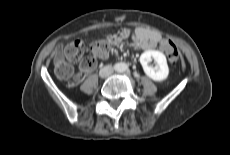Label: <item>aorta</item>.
<instances>
[{
  "label": "aorta",
  "instance_id": "aorta-1",
  "mask_svg": "<svg viewBox=\"0 0 230 155\" xmlns=\"http://www.w3.org/2000/svg\"><path fill=\"white\" fill-rule=\"evenodd\" d=\"M127 68H128L127 64H125V63L119 64V71H121V72L126 71Z\"/></svg>",
  "mask_w": 230,
  "mask_h": 155
}]
</instances>
